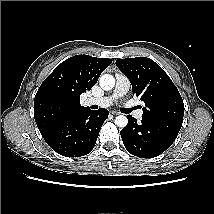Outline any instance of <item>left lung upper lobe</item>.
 Masks as SVG:
<instances>
[{"label": "left lung upper lobe", "mask_w": 214, "mask_h": 214, "mask_svg": "<svg viewBox=\"0 0 214 214\" xmlns=\"http://www.w3.org/2000/svg\"><path fill=\"white\" fill-rule=\"evenodd\" d=\"M116 66L128 77L133 94L145 103L144 118L182 125L184 103L166 72L153 60L136 57L116 60Z\"/></svg>", "instance_id": "1"}]
</instances>
